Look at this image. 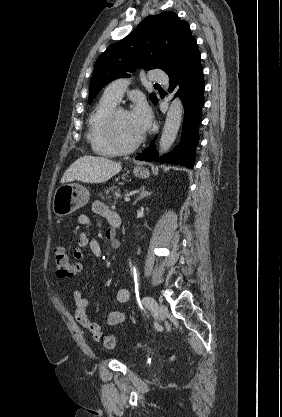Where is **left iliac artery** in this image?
<instances>
[{
	"instance_id": "44dca946",
	"label": "left iliac artery",
	"mask_w": 282,
	"mask_h": 417,
	"mask_svg": "<svg viewBox=\"0 0 282 417\" xmlns=\"http://www.w3.org/2000/svg\"><path fill=\"white\" fill-rule=\"evenodd\" d=\"M142 303L146 307H148L153 313H156L157 312V309H158L157 303H156V301L153 298H151V297H144L142 299Z\"/></svg>"
}]
</instances>
